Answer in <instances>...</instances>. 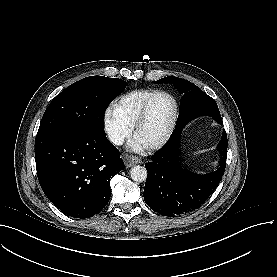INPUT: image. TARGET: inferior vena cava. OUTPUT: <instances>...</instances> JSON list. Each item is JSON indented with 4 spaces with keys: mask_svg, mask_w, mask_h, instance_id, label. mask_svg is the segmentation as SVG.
Instances as JSON below:
<instances>
[{
    "mask_svg": "<svg viewBox=\"0 0 277 277\" xmlns=\"http://www.w3.org/2000/svg\"><path fill=\"white\" fill-rule=\"evenodd\" d=\"M108 137H109V140L115 145L123 144L124 137L116 131L109 132Z\"/></svg>",
    "mask_w": 277,
    "mask_h": 277,
    "instance_id": "inferior-vena-cava-1",
    "label": "inferior vena cava"
}]
</instances>
